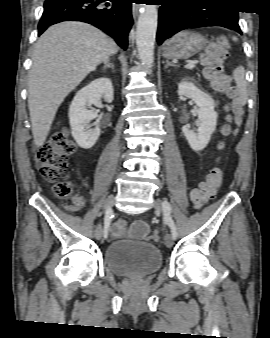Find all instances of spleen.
Here are the masks:
<instances>
[{"mask_svg": "<svg viewBox=\"0 0 270 338\" xmlns=\"http://www.w3.org/2000/svg\"><path fill=\"white\" fill-rule=\"evenodd\" d=\"M233 77L235 79L238 95H239V101L241 104L245 103L246 99V89H247V82L245 80V70L242 66L237 67L233 71Z\"/></svg>", "mask_w": 270, "mask_h": 338, "instance_id": "obj_1", "label": "spleen"}]
</instances>
